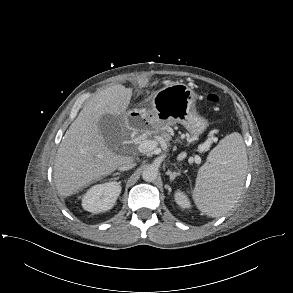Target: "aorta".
<instances>
[{"label":"aorta","mask_w":293,"mask_h":293,"mask_svg":"<svg viewBox=\"0 0 293 293\" xmlns=\"http://www.w3.org/2000/svg\"><path fill=\"white\" fill-rule=\"evenodd\" d=\"M158 177V170L153 166H148L142 171V178L146 182H153Z\"/></svg>","instance_id":"obj_1"}]
</instances>
